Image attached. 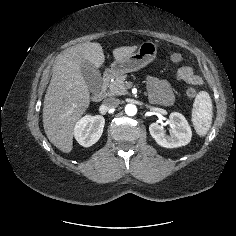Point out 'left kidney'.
Masks as SVG:
<instances>
[{
  "label": "left kidney",
  "instance_id": "left-kidney-1",
  "mask_svg": "<svg viewBox=\"0 0 236 236\" xmlns=\"http://www.w3.org/2000/svg\"><path fill=\"white\" fill-rule=\"evenodd\" d=\"M171 122L170 136L164 130V127L158 123H152L149 126V132L152 138L162 147L177 148L187 145L192 137L191 128L181 113L173 112L169 116Z\"/></svg>",
  "mask_w": 236,
  "mask_h": 236
}]
</instances>
